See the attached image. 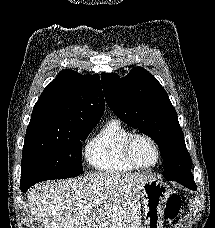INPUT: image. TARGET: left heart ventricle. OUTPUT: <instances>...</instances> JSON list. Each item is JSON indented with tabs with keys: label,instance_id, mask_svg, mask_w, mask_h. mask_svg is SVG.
<instances>
[{
	"label": "left heart ventricle",
	"instance_id": "b2bd125f",
	"mask_svg": "<svg viewBox=\"0 0 215 228\" xmlns=\"http://www.w3.org/2000/svg\"><path fill=\"white\" fill-rule=\"evenodd\" d=\"M133 157L141 167H150L156 160L152 145L145 139H138L133 146Z\"/></svg>",
	"mask_w": 215,
	"mask_h": 228
}]
</instances>
